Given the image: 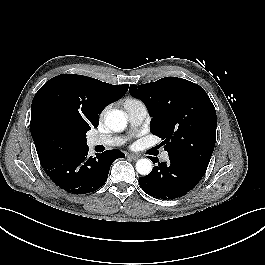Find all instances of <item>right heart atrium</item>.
Returning <instances> with one entry per match:
<instances>
[{
    "instance_id": "right-heart-atrium-1",
    "label": "right heart atrium",
    "mask_w": 265,
    "mask_h": 265,
    "mask_svg": "<svg viewBox=\"0 0 265 265\" xmlns=\"http://www.w3.org/2000/svg\"><path fill=\"white\" fill-rule=\"evenodd\" d=\"M105 111H106V110H104V111L102 112V114H101V115H104Z\"/></svg>"
}]
</instances>
